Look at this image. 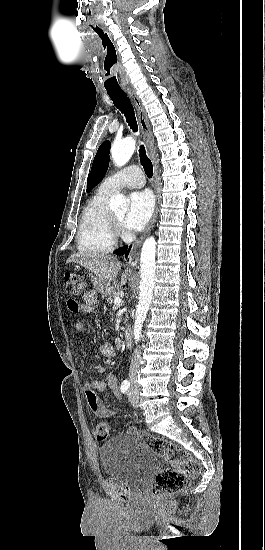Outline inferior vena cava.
<instances>
[{
    "mask_svg": "<svg viewBox=\"0 0 265 550\" xmlns=\"http://www.w3.org/2000/svg\"><path fill=\"white\" fill-rule=\"evenodd\" d=\"M141 362H142L141 352L137 348L134 351V354L131 360L130 369H129V381L132 384L137 382V374H138Z\"/></svg>",
    "mask_w": 265,
    "mask_h": 550,
    "instance_id": "602c4592",
    "label": "inferior vena cava"
}]
</instances>
